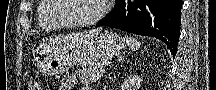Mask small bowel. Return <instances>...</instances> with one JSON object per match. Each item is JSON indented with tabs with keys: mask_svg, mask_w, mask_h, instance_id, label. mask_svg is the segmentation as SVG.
<instances>
[{
	"mask_svg": "<svg viewBox=\"0 0 216 90\" xmlns=\"http://www.w3.org/2000/svg\"><path fill=\"white\" fill-rule=\"evenodd\" d=\"M76 76L72 73H67L63 76L59 90H72L76 84ZM82 90H90L89 87H83Z\"/></svg>",
	"mask_w": 216,
	"mask_h": 90,
	"instance_id": "c3829d8e",
	"label": "small bowel"
}]
</instances>
